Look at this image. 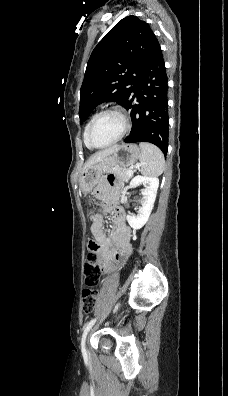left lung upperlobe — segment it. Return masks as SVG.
Returning <instances> with one entry per match:
<instances>
[{
	"label": "left lung upper lobe",
	"mask_w": 228,
	"mask_h": 396,
	"mask_svg": "<svg viewBox=\"0 0 228 396\" xmlns=\"http://www.w3.org/2000/svg\"><path fill=\"white\" fill-rule=\"evenodd\" d=\"M156 40L136 16L120 20L94 48L80 89V123L100 103L125 106Z\"/></svg>",
	"instance_id": "1"
}]
</instances>
